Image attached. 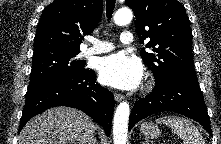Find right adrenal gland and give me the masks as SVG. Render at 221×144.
Here are the masks:
<instances>
[{"label":"right adrenal gland","mask_w":221,"mask_h":144,"mask_svg":"<svg viewBox=\"0 0 221 144\" xmlns=\"http://www.w3.org/2000/svg\"><path fill=\"white\" fill-rule=\"evenodd\" d=\"M93 144H97V140L95 137L93 138Z\"/></svg>","instance_id":"2a0ac1e0"}]
</instances>
